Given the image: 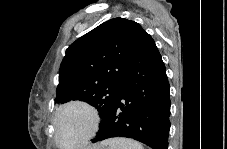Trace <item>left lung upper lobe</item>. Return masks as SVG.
<instances>
[{"label":"left lung upper lobe","instance_id":"1","mask_svg":"<svg viewBox=\"0 0 227 149\" xmlns=\"http://www.w3.org/2000/svg\"><path fill=\"white\" fill-rule=\"evenodd\" d=\"M143 31L134 21L114 18L77 39L61 63L55 103L85 101L103 119L121 90Z\"/></svg>","mask_w":227,"mask_h":149}]
</instances>
